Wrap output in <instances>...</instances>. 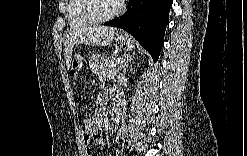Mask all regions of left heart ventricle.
Returning a JSON list of instances; mask_svg holds the SVG:
<instances>
[{
    "label": "left heart ventricle",
    "instance_id": "left-heart-ventricle-1",
    "mask_svg": "<svg viewBox=\"0 0 247 156\" xmlns=\"http://www.w3.org/2000/svg\"><path fill=\"white\" fill-rule=\"evenodd\" d=\"M117 5V1H94L91 4V12L97 17L107 16L115 11Z\"/></svg>",
    "mask_w": 247,
    "mask_h": 156
}]
</instances>
